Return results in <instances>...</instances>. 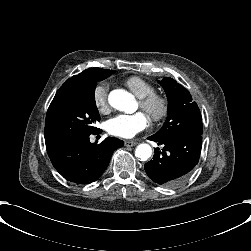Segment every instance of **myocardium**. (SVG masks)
Returning a JSON list of instances; mask_svg holds the SVG:
<instances>
[{"mask_svg":"<svg viewBox=\"0 0 251 251\" xmlns=\"http://www.w3.org/2000/svg\"><path fill=\"white\" fill-rule=\"evenodd\" d=\"M140 106L149 114L154 121L165 118L170 109V103L165 95L153 92L139 97Z\"/></svg>","mask_w":251,"mask_h":251,"instance_id":"1","label":"myocardium"}]
</instances>
